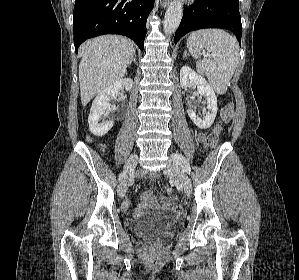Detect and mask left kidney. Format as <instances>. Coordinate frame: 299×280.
I'll list each match as a JSON object with an SVG mask.
<instances>
[{"label": "left kidney", "instance_id": "left-kidney-1", "mask_svg": "<svg viewBox=\"0 0 299 280\" xmlns=\"http://www.w3.org/2000/svg\"><path fill=\"white\" fill-rule=\"evenodd\" d=\"M180 85L181 87H188L191 85H197L198 93L206 96L207 100V112L205 113L204 119H201L196 115L195 111L192 109V102L188 100V110L187 113L194 124L200 129H207L213 124L215 117L217 115V97L208 84L205 78L197 74L193 69L188 66H183L180 70Z\"/></svg>", "mask_w": 299, "mask_h": 280}]
</instances>
